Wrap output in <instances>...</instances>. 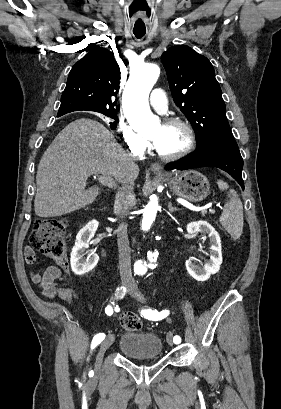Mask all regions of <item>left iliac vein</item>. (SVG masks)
<instances>
[{"mask_svg":"<svg viewBox=\"0 0 281 409\" xmlns=\"http://www.w3.org/2000/svg\"><path fill=\"white\" fill-rule=\"evenodd\" d=\"M128 293L136 298L137 300H139L140 302H144L145 298L142 295V293L139 291L137 285L135 283H130V285L128 286ZM173 334L171 332L168 333L167 335V342L170 346L174 345V341H173Z\"/></svg>","mask_w":281,"mask_h":409,"instance_id":"1","label":"left iliac vein"}]
</instances>
